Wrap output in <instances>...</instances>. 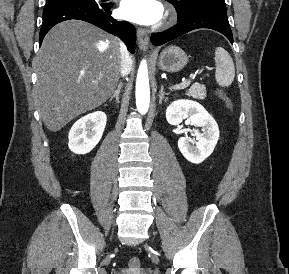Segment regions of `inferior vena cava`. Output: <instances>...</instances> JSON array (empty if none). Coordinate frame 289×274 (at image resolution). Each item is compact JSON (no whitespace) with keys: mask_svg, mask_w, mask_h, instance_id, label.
Segmentation results:
<instances>
[{"mask_svg":"<svg viewBox=\"0 0 289 274\" xmlns=\"http://www.w3.org/2000/svg\"><path fill=\"white\" fill-rule=\"evenodd\" d=\"M121 75H127L132 67V60L124 44L120 43Z\"/></svg>","mask_w":289,"mask_h":274,"instance_id":"602c4592","label":"inferior vena cava"}]
</instances>
